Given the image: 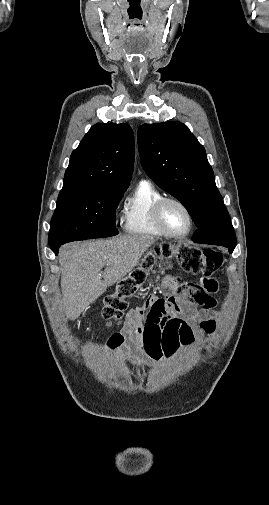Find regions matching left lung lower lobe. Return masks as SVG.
Here are the masks:
<instances>
[{"label": "left lung lower lobe", "mask_w": 269, "mask_h": 505, "mask_svg": "<svg viewBox=\"0 0 269 505\" xmlns=\"http://www.w3.org/2000/svg\"><path fill=\"white\" fill-rule=\"evenodd\" d=\"M225 247L229 248V252H230V253H232V252H233V250H234V248H235V246H229V245H228V246H225Z\"/></svg>", "instance_id": "obj_1"}]
</instances>
